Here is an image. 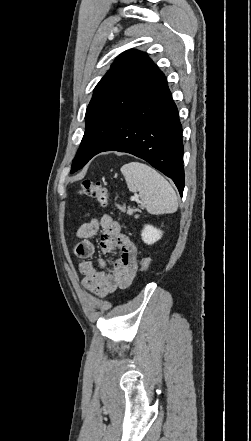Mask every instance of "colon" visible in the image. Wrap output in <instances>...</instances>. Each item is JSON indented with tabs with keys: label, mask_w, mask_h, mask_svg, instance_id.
I'll use <instances>...</instances> for the list:
<instances>
[{
	"label": "colon",
	"mask_w": 251,
	"mask_h": 441,
	"mask_svg": "<svg viewBox=\"0 0 251 441\" xmlns=\"http://www.w3.org/2000/svg\"><path fill=\"white\" fill-rule=\"evenodd\" d=\"M79 193L93 198L100 206H108V192L105 186L99 181H91L86 179L82 182ZM150 259L144 257L140 262L142 271H146L149 268Z\"/></svg>",
	"instance_id": "colon-1"
}]
</instances>
